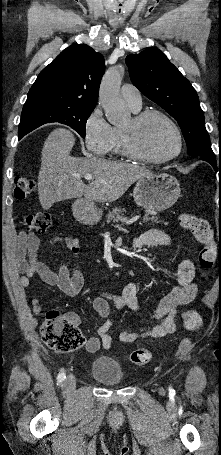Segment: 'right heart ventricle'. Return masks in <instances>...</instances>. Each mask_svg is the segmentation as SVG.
<instances>
[{"instance_id": "1", "label": "right heart ventricle", "mask_w": 221, "mask_h": 455, "mask_svg": "<svg viewBox=\"0 0 221 455\" xmlns=\"http://www.w3.org/2000/svg\"><path fill=\"white\" fill-rule=\"evenodd\" d=\"M134 112H139V109H133ZM110 152L116 154V155H124L122 147H121V128L118 127H113V139H112V144L110 148Z\"/></svg>"}]
</instances>
